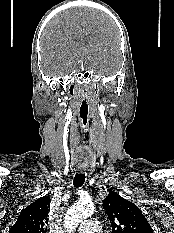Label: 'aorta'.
I'll use <instances>...</instances> for the list:
<instances>
[{
    "mask_svg": "<svg viewBox=\"0 0 174 233\" xmlns=\"http://www.w3.org/2000/svg\"><path fill=\"white\" fill-rule=\"evenodd\" d=\"M94 206L90 202H77L72 205L65 216L64 227L67 233H74L78 224L93 215Z\"/></svg>",
    "mask_w": 174,
    "mask_h": 233,
    "instance_id": "762f6f07",
    "label": "aorta"
}]
</instances>
